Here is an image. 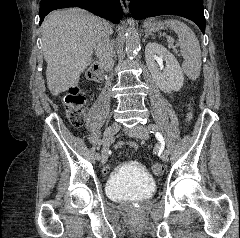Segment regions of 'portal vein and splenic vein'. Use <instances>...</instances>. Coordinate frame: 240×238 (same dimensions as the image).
Returning a JSON list of instances; mask_svg holds the SVG:
<instances>
[{
    "instance_id": "portal-vein-and-splenic-vein-1",
    "label": "portal vein and splenic vein",
    "mask_w": 240,
    "mask_h": 238,
    "mask_svg": "<svg viewBox=\"0 0 240 238\" xmlns=\"http://www.w3.org/2000/svg\"><path fill=\"white\" fill-rule=\"evenodd\" d=\"M168 42H169V47H170V48H174V46H173V40H172V39H168Z\"/></svg>"
}]
</instances>
